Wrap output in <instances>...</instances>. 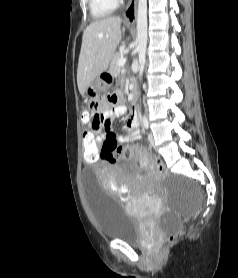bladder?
Masks as SVG:
<instances>
[{"label":"bladder","instance_id":"obj_1","mask_svg":"<svg viewBox=\"0 0 238 278\" xmlns=\"http://www.w3.org/2000/svg\"><path fill=\"white\" fill-rule=\"evenodd\" d=\"M84 180H94L92 169H83ZM98 181H84L87 201L100 234L108 239L142 244L145 232L142 221L127 212L112 193L100 188Z\"/></svg>","mask_w":238,"mask_h":278}]
</instances>
